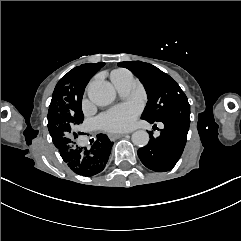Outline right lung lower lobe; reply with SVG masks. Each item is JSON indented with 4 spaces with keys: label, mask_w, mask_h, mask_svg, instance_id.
<instances>
[{
    "label": "right lung lower lobe",
    "mask_w": 241,
    "mask_h": 241,
    "mask_svg": "<svg viewBox=\"0 0 241 241\" xmlns=\"http://www.w3.org/2000/svg\"><path fill=\"white\" fill-rule=\"evenodd\" d=\"M113 146L107 135L98 134L90 148L65 145L59 147L64 162L78 175L93 176L104 170Z\"/></svg>",
    "instance_id": "obj_1"
}]
</instances>
